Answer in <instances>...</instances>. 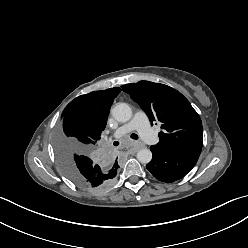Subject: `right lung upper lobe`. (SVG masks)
<instances>
[{
    "label": "right lung upper lobe",
    "instance_id": "obj_1",
    "mask_svg": "<svg viewBox=\"0 0 248 248\" xmlns=\"http://www.w3.org/2000/svg\"><path fill=\"white\" fill-rule=\"evenodd\" d=\"M120 91L121 89L119 87H114L81 95L72 100L62 113L64 116L72 113L80 114L84 122L97 135L90 145L92 151L95 150L97 141L105 129L110 107ZM110 166L112 170L116 171L119 168L117 161H115L113 166L112 164H110Z\"/></svg>",
    "mask_w": 248,
    "mask_h": 248
}]
</instances>
